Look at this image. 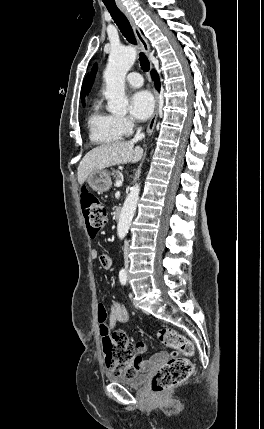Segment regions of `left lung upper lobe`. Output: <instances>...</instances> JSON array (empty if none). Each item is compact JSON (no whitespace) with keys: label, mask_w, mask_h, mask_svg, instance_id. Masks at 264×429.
I'll list each match as a JSON object with an SVG mask.
<instances>
[{"label":"left lung upper lobe","mask_w":264,"mask_h":429,"mask_svg":"<svg viewBox=\"0 0 264 429\" xmlns=\"http://www.w3.org/2000/svg\"><path fill=\"white\" fill-rule=\"evenodd\" d=\"M96 70H97V64H95V65L93 66L92 71H91V74H90V77H89V81H88V92L90 91V88H91V86H92V84H93V81H94V77H95V72H96Z\"/></svg>","instance_id":"5c2ea615"}]
</instances>
